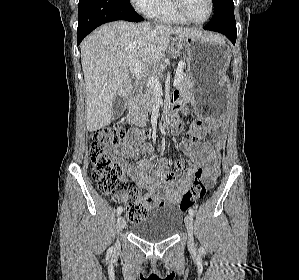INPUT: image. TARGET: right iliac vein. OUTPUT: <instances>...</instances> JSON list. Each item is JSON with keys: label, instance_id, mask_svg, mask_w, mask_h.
<instances>
[{"label": "right iliac vein", "instance_id": "63e3f726", "mask_svg": "<svg viewBox=\"0 0 299 280\" xmlns=\"http://www.w3.org/2000/svg\"><path fill=\"white\" fill-rule=\"evenodd\" d=\"M126 222L123 216H119L117 218V223H116V227H117V231L120 232L124 226H125Z\"/></svg>", "mask_w": 299, "mask_h": 280}]
</instances>
